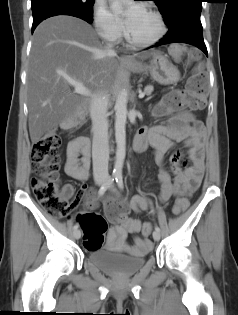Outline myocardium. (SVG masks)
<instances>
[{"label":"myocardium","instance_id":"obj_1","mask_svg":"<svg viewBox=\"0 0 238 315\" xmlns=\"http://www.w3.org/2000/svg\"><path fill=\"white\" fill-rule=\"evenodd\" d=\"M144 9L147 12H149L151 15H153L154 18L156 19L157 24H158V32L154 37H152L148 40H136V39L131 37V35L128 32V29L126 28L125 38H126L127 42L134 47L143 48V47L152 46V45L156 44L157 42H159L166 33V24H165V21L161 15V13L158 12L157 10L153 9V8H150V7H146Z\"/></svg>","mask_w":238,"mask_h":315}]
</instances>
